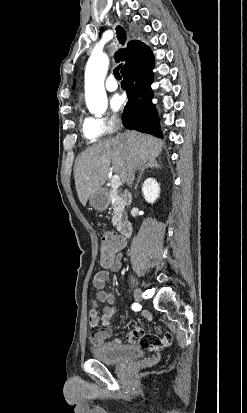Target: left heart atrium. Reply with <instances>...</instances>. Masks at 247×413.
Listing matches in <instances>:
<instances>
[{"label":"left heart atrium","instance_id":"1","mask_svg":"<svg viewBox=\"0 0 247 413\" xmlns=\"http://www.w3.org/2000/svg\"><path fill=\"white\" fill-rule=\"evenodd\" d=\"M110 106L114 111H120L124 107V99L116 94L110 98Z\"/></svg>","mask_w":247,"mask_h":413}]
</instances>
